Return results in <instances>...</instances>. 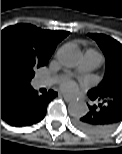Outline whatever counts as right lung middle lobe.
I'll return each mask as SVG.
<instances>
[{
    "mask_svg": "<svg viewBox=\"0 0 122 154\" xmlns=\"http://www.w3.org/2000/svg\"><path fill=\"white\" fill-rule=\"evenodd\" d=\"M46 64L38 62L24 51L15 40H1V73L19 82L22 86L30 85L34 70Z\"/></svg>",
    "mask_w": 122,
    "mask_h": 154,
    "instance_id": "dd1d6c3e",
    "label": "right lung middle lobe"
}]
</instances>
